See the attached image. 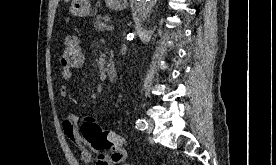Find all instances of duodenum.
<instances>
[{
    "mask_svg": "<svg viewBox=\"0 0 276 165\" xmlns=\"http://www.w3.org/2000/svg\"><path fill=\"white\" fill-rule=\"evenodd\" d=\"M109 79H114L117 75V65L114 60H109L105 67Z\"/></svg>",
    "mask_w": 276,
    "mask_h": 165,
    "instance_id": "obj_1",
    "label": "duodenum"
}]
</instances>
